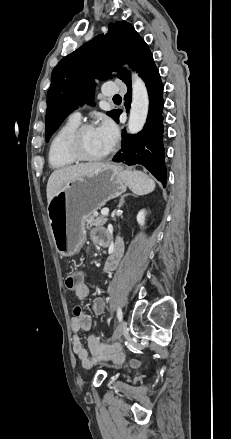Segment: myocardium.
I'll use <instances>...</instances> for the list:
<instances>
[{"label":"myocardium","instance_id":"1","mask_svg":"<svg viewBox=\"0 0 231 439\" xmlns=\"http://www.w3.org/2000/svg\"><path fill=\"white\" fill-rule=\"evenodd\" d=\"M95 126L91 123H84L78 125L73 129L66 139V150L68 154L76 161L82 162H95L107 158L112 152V148L108 149L105 153L98 156H90L84 153L81 147V137L83 133L89 129H94Z\"/></svg>","mask_w":231,"mask_h":439}]
</instances>
